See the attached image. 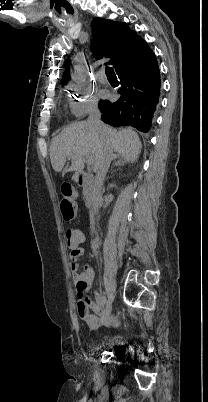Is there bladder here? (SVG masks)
Masks as SVG:
<instances>
[{"mask_svg": "<svg viewBox=\"0 0 208 402\" xmlns=\"http://www.w3.org/2000/svg\"><path fill=\"white\" fill-rule=\"evenodd\" d=\"M113 339L111 338V339H105V342L106 343H109V342H111Z\"/></svg>", "mask_w": 208, "mask_h": 402, "instance_id": "1", "label": "bladder"}]
</instances>
